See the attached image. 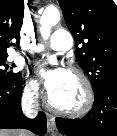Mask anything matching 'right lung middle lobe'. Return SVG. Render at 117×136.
I'll use <instances>...</instances> for the list:
<instances>
[{"mask_svg":"<svg viewBox=\"0 0 117 136\" xmlns=\"http://www.w3.org/2000/svg\"><path fill=\"white\" fill-rule=\"evenodd\" d=\"M6 59L7 57H0V84H9L22 79L20 72L14 73L8 70L9 66L5 63Z\"/></svg>","mask_w":117,"mask_h":136,"instance_id":"dd1d6c3e","label":"right lung middle lobe"}]
</instances>
